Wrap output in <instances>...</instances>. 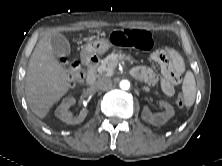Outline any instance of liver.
Instances as JSON below:
<instances>
[{
	"label": "liver",
	"instance_id": "1",
	"mask_svg": "<svg viewBox=\"0 0 222 166\" xmlns=\"http://www.w3.org/2000/svg\"><path fill=\"white\" fill-rule=\"evenodd\" d=\"M60 30L55 28L39 40L28 63L26 100L31 111L41 119L71 88L72 79L55 58L51 46V37Z\"/></svg>",
	"mask_w": 222,
	"mask_h": 166
}]
</instances>
